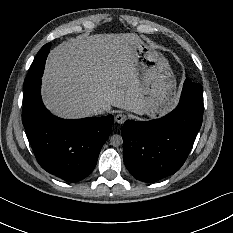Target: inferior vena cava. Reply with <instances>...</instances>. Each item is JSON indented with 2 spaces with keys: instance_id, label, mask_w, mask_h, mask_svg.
Instances as JSON below:
<instances>
[{
  "instance_id": "1",
  "label": "inferior vena cava",
  "mask_w": 233,
  "mask_h": 233,
  "mask_svg": "<svg viewBox=\"0 0 233 233\" xmlns=\"http://www.w3.org/2000/svg\"><path fill=\"white\" fill-rule=\"evenodd\" d=\"M106 111V108L102 104H95L91 106L90 108V113L92 115H98V114H103Z\"/></svg>"
}]
</instances>
